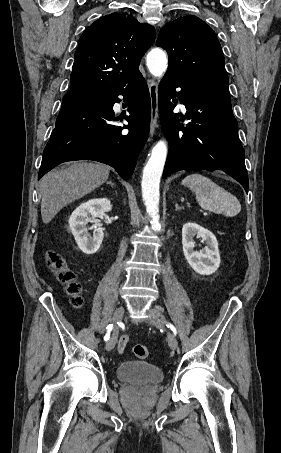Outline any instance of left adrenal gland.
Returning <instances> with one entry per match:
<instances>
[{"instance_id": "obj_1", "label": "left adrenal gland", "mask_w": 281, "mask_h": 453, "mask_svg": "<svg viewBox=\"0 0 281 453\" xmlns=\"http://www.w3.org/2000/svg\"><path fill=\"white\" fill-rule=\"evenodd\" d=\"M179 208H180V206H179V204H177V202H176V204H175V210H179Z\"/></svg>"}]
</instances>
